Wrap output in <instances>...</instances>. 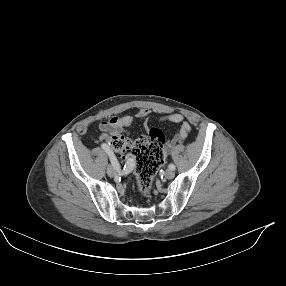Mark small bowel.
Returning a JSON list of instances; mask_svg holds the SVG:
<instances>
[{
    "mask_svg": "<svg viewBox=\"0 0 286 286\" xmlns=\"http://www.w3.org/2000/svg\"><path fill=\"white\" fill-rule=\"evenodd\" d=\"M149 110L141 108L136 115L112 116L99 124L101 134L99 140L108 141L111 135L122 134L131 128L137 120L143 123L145 130L148 129ZM161 122H172L181 124L179 132L167 143L166 152H170L177 144L184 141L191 131L190 124L185 121V116L181 113H172L162 115L159 119ZM133 165L128 168L132 169Z\"/></svg>",
    "mask_w": 286,
    "mask_h": 286,
    "instance_id": "small-bowel-1",
    "label": "small bowel"
}]
</instances>
